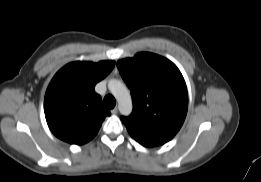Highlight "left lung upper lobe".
Here are the masks:
<instances>
[{
  "label": "left lung upper lobe",
  "instance_id": "5c2ea615",
  "mask_svg": "<svg viewBox=\"0 0 261 182\" xmlns=\"http://www.w3.org/2000/svg\"><path fill=\"white\" fill-rule=\"evenodd\" d=\"M130 88L133 112L122 117L129 134L146 147L162 145L181 128L188 109L184 78L174 63L153 53L117 62Z\"/></svg>",
  "mask_w": 261,
  "mask_h": 182
}]
</instances>
